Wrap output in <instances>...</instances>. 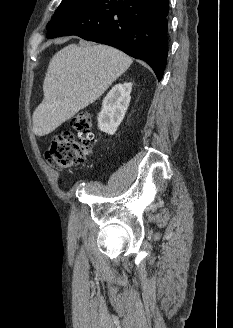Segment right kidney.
<instances>
[{
  "label": "right kidney",
  "instance_id": "right-kidney-1",
  "mask_svg": "<svg viewBox=\"0 0 233 328\" xmlns=\"http://www.w3.org/2000/svg\"><path fill=\"white\" fill-rule=\"evenodd\" d=\"M131 90L132 84L125 82L112 87L106 95L98 115V127L101 131L109 135L117 131L128 109Z\"/></svg>",
  "mask_w": 233,
  "mask_h": 328
}]
</instances>
